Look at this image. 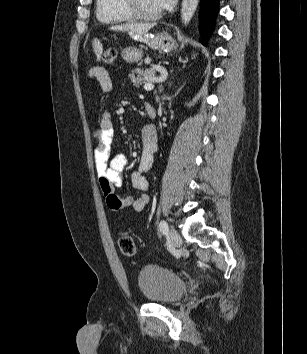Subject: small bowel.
Instances as JSON below:
<instances>
[{
  "mask_svg": "<svg viewBox=\"0 0 307 354\" xmlns=\"http://www.w3.org/2000/svg\"><path fill=\"white\" fill-rule=\"evenodd\" d=\"M126 35L127 38H136L137 34L136 31H127ZM100 54V46L95 45V58L99 59ZM88 77L91 80L97 81L101 92L105 95V99L108 100L113 84L107 69L98 65L93 66L88 71ZM146 112L149 116L154 115V110L150 105L146 107ZM114 134L111 114L108 111H104L94 134L97 142L94 163L99 186L105 197L107 206L111 210L119 211L127 207H132L136 212H142L150 201V197L147 194L150 185L144 173L152 166L153 156L157 150L155 128L152 125H146L141 131V159L138 169L132 174V185L136 190L141 192L137 197H120L115 191L123 182V171L128 164V160L124 154L112 153Z\"/></svg>",
  "mask_w": 307,
  "mask_h": 354,
  "instance_id": "c3829d8e",
  "label": "small bowel"
}]
</instances>
